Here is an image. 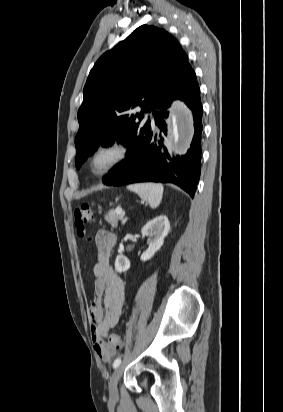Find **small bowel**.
<instances>
[{
	"mask_svg": "<svg viewBox=\"0 0 283 412\" xmlns=\"http://www.w3.org/2000/svg\"><path fill=\"white\" fill-rule=\"evenodd\" d=\"M116 236L99 230L95 236L97 261L93 267V300L88 310L92 322L91 336L94 348L101 358L108 361L112 351H103L102 344L109 331L119 322L125 301V283L114 271L110 258Z\"/></svg>",
	"mask_w": 283,
	"mask_h": 412,
	"instance_id": "obj_1",
	"label": "small bowel"
}]
</instances>
